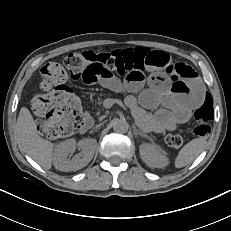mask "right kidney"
<instances>
[{
	"mask_svg": "<svg viewBox=\"0 0 231 231\" xmlns=\"http://www.w3.org/2000/svg\"><path fill=\"white\" fill-rule=\"evenodd\" d=\"M97 142L92 138H85L78 142L75 139H68L57 145L53 163L56 169L60 171H77L85 167L93 158ZM81 148V153L75 155L72 159L68 156L75 149Z\"/></svg>",
	"mask_w": 231,
	"mask_h": 231,
	"instance_id": "obj_1",
	"label": "right kidney"
}]
</instances>
